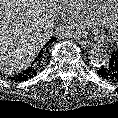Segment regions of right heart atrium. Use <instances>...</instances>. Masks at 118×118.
<instances>
[{
  "label": "right heart atrium",
  "mask_w": 118,
  "mask_h": 118,
  "mask_svg": "<svg viewBox=\"0 0 118 118\" xmlns=\"http://www.w3.org/2000/svg\"><path fill=\"white\" fill-rule=\"evenodd\" d=\"M73 3L69 6L67 19L71 26L78 29L82 26L91 25L93 19L84 11L79 1L71 0Z\"/></svg>",
  "instance_id": "d8ad5b80"
}]
</instances>
